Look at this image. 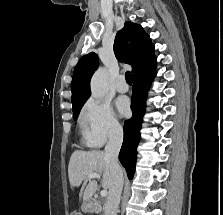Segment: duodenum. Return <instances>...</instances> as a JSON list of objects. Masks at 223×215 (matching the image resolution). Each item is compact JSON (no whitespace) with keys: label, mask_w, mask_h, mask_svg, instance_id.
I'll return each instance as SVG.
<instances>
[{"label":"duodenum","mask_w":223,"mask_h":215,"mask_svg":"<svg viewBox=\"0 0 223 215\" xmlns=\"http://www.w3.org/2000/svg\"><path fill=\"white\" fill-rule=\"evenodd\" d=\"M84 211L88 213H96L97 212V206L95 204V201L92 198H86L84 205H83Z\"/></svg>","instance_id":"duodenum-1"}]
</instances>
